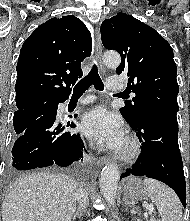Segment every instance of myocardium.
<instances>
[{
	"label": "myocardium",
	"mask_w": 190,
	"mask_h": 221,
	"mask_svg": "<svg viewBox=\"0 0 190 221\" xmlns=\"http://www.w3.org/2000/svg\"><path fill=\"white\" fill-rule=\"evenodd\" d=\"M124 138L127 144L126 148L123 150L115 149L113 155L118 160L130 161L139 155L140 143L138 139L130 133H127Z\"/></svg>",
	"instance_id": "1"
}]
</instances>
